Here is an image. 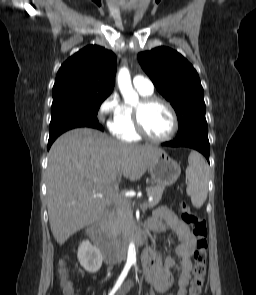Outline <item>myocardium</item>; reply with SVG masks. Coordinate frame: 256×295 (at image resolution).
Returning <instances> with one entry per match:
<instances>
[{"instance_id":"f54148a6","label":"myocardium","mask_w":256,"mask_h":295,"mask_svg":"<svg viewBox=\"0 0 256 295\" xmlns=\"http://www.w3.org/2000/svg\"><path fill=\"white\" fill-rule=\"evenodd\" d=\"M154 103H160L164 105L168 109L172 118V129L170 133L164 137H154L151 134H149L141 120V113L143 109ZM133 123L135 131L140 137L155 143H163L171 140L178 130V117L173 106L164 98L152 95L142 97L139 102V105L133 108Z\"/></svg>"}]
</instances>
